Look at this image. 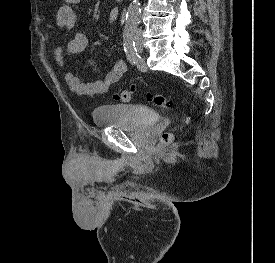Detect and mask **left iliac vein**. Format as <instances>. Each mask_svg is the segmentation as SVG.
<instances>
[{
  "instance_id": "left-iliac-vein-1",
  "label": "left iliac vein",
  "mask_w": 275,
  "mask_h": 263,
  "mask_svg": "<svg viewBox=\"0 0 275 263\" xmlns=\"http://www.w3.org/2000/svg\"><path fill=\"white\" fill-rule=\"evenodd\" d=\"M136 44H137V48L139 51H142L143 50V44H142V41L140 38H136Z\"/></svg>"
}]
</instances>
